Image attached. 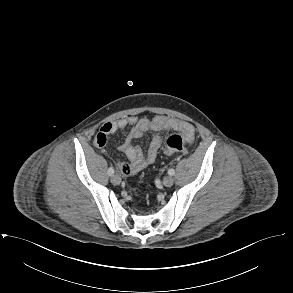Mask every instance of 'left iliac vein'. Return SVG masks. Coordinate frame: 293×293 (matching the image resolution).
<instances>
[{
    "label": "left iliac vein",
    "mask_w": 293,
    "mask_h": 293,
    "mask_svg": "<svg viewBox=\"0 0 293 293\" xmlns=\"http://www.w3.org/2000/svg\"><path fill=\"white\" fill-rule=\"evenodd\" d=\"M174 183V179L171 177V176H166L164 179H163V184L166 186V187H170L172 186Z\"/></svg>",
    "instance_id": "4c4485c4"
}]
</instances>
